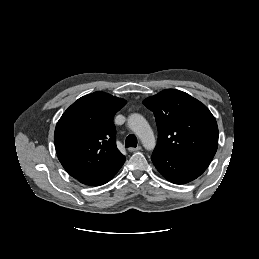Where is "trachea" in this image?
Instances as JSON below:
<instances>
[{"label":"trachea","mask_w":259,"mask_h":259,"mask_svg":"<svg viewBox=\"0 0 259 259\" xmlns=\"http://www.w3.org/2000/svg\"><path fill=\"white\" fill-rule=\"evenodd\" d=\"M125 146L126 147H136L137 146L136 136L133 134H130L129 136H127Z\"/></svg>","instance_id":"trachea-1"}]
</instances>
